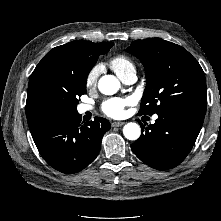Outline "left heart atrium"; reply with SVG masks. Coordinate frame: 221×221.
I'll use <instances>...</instances> for the list:
<instances>
[{
  "label": "left heart atrium",
  "mask_w": 221,
  "mask_h": 221,
  "mask_svg": "<svg viewBox=\"0 0 221 221\" xmlns=\"http://www.w3.org/2000/svg\"><path fill=\"white\" fill-rule=\"evenodd\" d=\"M131 104L130 99L111 98L103 102L101 109L104 114L112 118L122 117L125 107Z\"/></svg>",
  "instance_id": "obj_1"
}]
</instances>
